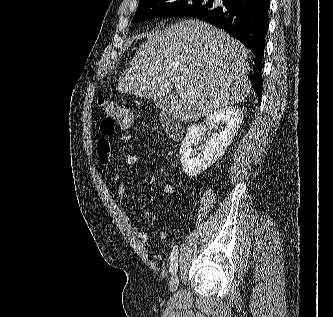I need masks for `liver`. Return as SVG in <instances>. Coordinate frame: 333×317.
<instances>
[{
    "label": "liver",
    "instance_id": "1",
    "mask_svg": "<svg viewBox=\"0 0 333 317\" xmlns=\"http://www.w3.org/2000/svg\"><path fill=\"white\" fill-rule=\"evenodd\" d=\"M247 54L226 32L203 21L184 20L150 36L117 89L151 99L180 86L184 97L171 101L169 111L176 119L196 121L248 97Z\"/></svg>",
    "mask_w": 333,
    "mask_h": 317
}]
</instances>
